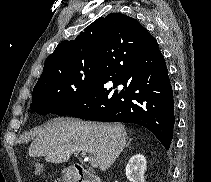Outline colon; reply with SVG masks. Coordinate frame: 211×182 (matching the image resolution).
I'll return each mask as SVG.
<instances>
[{
  "label": "colon",
  "mask_w": 211,
  "mask_h": 182,
  "mask_svg": "<svg viewBox=\"0 0 211 182\" xmlns=\"http://www.w3.org/2000/svg\"><path fill=\"white\" fill-rule=\"evenodd\" d=\"M32 173L36 176L42 173V165L39 163H34L32 166Z\"/></svg>",
  "instance_id": "colon-1"
}]
</instances>
